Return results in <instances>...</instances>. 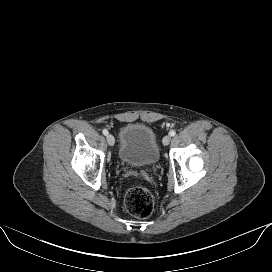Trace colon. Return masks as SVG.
Returning a JSON list of instances; mask_svg holds the SVG:
<instances>
[{"instance_id": "5ec220e1", "label": "colon", "mask_w": 272, "mask_h": 272, "mask_svg": "<svg viewBox=\"0 0 272 272\" xmlns=\"http://www.w3.org/2000/svg\"><path fill=\"white\" fill-rule=\"evenodd\" d=\"M153 205L150 191L142 184L135 183L127 190L125 207L130 214L138 218H146L152 213Z\"/></svg>"}]
</instances>
